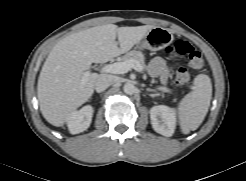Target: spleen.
I'll return each mask as SVG.
<instances>
[{
  "label": "spleen",
  "mask_w": 246,
  "mask_h": 181,
  "mask_svg": "<svg viewBox=\"0 0 246 181\" xmlns=\"http://www.w3.org/2000/svg\"><path fill=\"white\" fill-rule=\"evenodd\" d=\"M212 98V83L208 75L199 74L193 81V91L177 107L181 131L188 134L203 122Z\"/></svg>",
  "instance_id": "1"
}]
</instances>
